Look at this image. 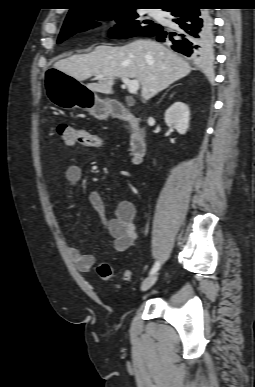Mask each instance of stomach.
<instances>
[{"label":"stomach","instance_id":"0dacf381","mask_svg":"<svg viewBox=\"0 0 255 387\" xmlns=\"http://www.w3.org/2000/svg\"><path fill=\"white\" fill-rule=\"evenodd\" d=\"M43 77L47 82V97L54 105L64 109L79 107L99 120H105L110 115V100L100 99L94 91L65 74L64 70H43Z\"/></svg>","mask_w":255,"mask_h":387}]
</instances>
